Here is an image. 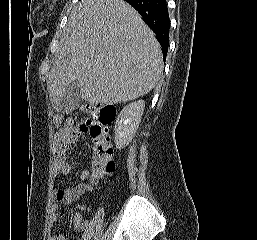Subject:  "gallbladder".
<instances>
[{"mask_svg": "<svg viewBox=\"0 0 257 240\" xmlns=\"http://www.w3.org/2000/svg\"><path fill=\"white\" fill-rule=\"evenodd\" d=\"M81 103L80 88L77 81H73L67 89L66 96L57 104L55 110L59 113L70 114L75 111Z\"/></svg>", "mask_w": 257, "mask_h": 240, "instance_id": "bac80fb5", "label": "gallbladder"}]
</instances>
